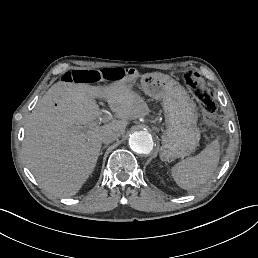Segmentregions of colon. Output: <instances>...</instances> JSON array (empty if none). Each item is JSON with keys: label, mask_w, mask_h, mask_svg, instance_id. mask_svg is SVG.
<instances>
[{"label": "colon", "mask_w": 258, "mask_h": 258, "mask_svg": "<svg viewBox=\"0 0 258 258\" xmlns=\"http://www.w3.org/2000/svg\"><path fill=\"white\" fill-rule=\"evenodd\" d=\"M121 77L120 68L80 69L71 70L64 74L63 81L94 85L100 82H114ZM184 84L192 90L196 100L208 113H215L217 106L211 90L204 84L201 76L193 70L183 73Z\"/></svg>", "instance_id": "1"}]
</instances>
